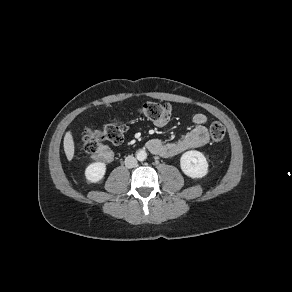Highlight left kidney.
<instances>
[{
  "instance_id": "1",
  "label": "left kidney",
  "mask_w": 292,
  "mask_h": 292,
  "mask_svg": "<svg viewBox=\"0 0 292 292\" xmlns=\"http://www.w3.org/2000/svg\"><path fill=\"white\" fill-rule=\"evenodd\" d=\"M208 166L205 156L199 151H187L180 158L181 170L191 178H202L206 176Z\"/></svg>"
}]
</instances>
